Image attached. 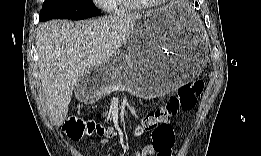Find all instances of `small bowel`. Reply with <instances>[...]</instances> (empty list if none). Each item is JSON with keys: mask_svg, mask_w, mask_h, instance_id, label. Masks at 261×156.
I'll list each match as a JSON object with an SVG mask.
<instances>
[{"mask_svg": "<svg viewBox=\"0 0 261 156\" xmlns=\"http://www.w3.org/2000/svg\"><path fill=\"white\" fill-rule=\"evenodd\" d=\"M71 119H74L76 120L75 116L72 117ZM173 130V129H172ZM174 133V131H173ZM94 143H98V144H101V145H105L107 143L106 140H102V139H92V140H89L87 142V144H94ZM140 156H160L158 151L156 150L153 142L151 144H148L146 146H144L139 154ZM170 154H167L165 156H169Z\"/></svg>", "mask_w": 261, "mask_h": 156, "instance_id": "small-bowel-1", "label": "small bowel"}]
</instances>
